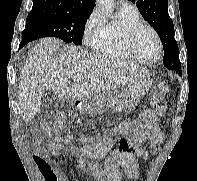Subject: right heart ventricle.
Segmentation results:
<instances>
[{"label": "right heart ventricle", "instance_id": "e07e8e85", "mask_svg": "<svg viewBox=\"0 0 197 181\" xmlns=\"http://www.w3.org/2000/svg\"><path fill=\"white\" fill-rule=\"evenodd\" d=\"M143 23L135 7L121 6L115 19L104 24L101 33L93 40V50L108 58L135 61L128 50L126 38L129 30Z\"/></svg>", "mask_w": 197, "mask_h": 181}]
</instances>
